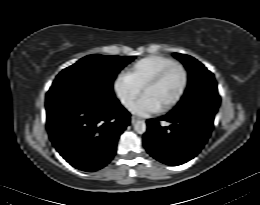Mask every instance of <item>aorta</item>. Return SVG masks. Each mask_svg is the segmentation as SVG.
I'll return each instance as SVG.
<instances>
[{
    "label": "aorta",
    "instance_id": "762f6f07",
    "mask_svg": "<svg viewBox=\"0 0 260 205\" xmlns=\"http://www.w3.org/2000/svg\"><path fill=\"white\" fill-rule=\"evenodd\" d=\"M134 130L138 133V134H143L146 132V123L142 120H137L134 123Z\"/></svg>",
    "mask_w": 260,
    "mask_h": 205
}]
</instances>
